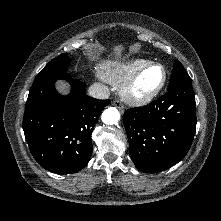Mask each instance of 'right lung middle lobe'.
I'll use <instances>...</instances> for the list:
<instances>
[{"mask_svg": "<svg viewBox=\"0 0 221 221\" xmlns=\"http://www.w3.org/2000/svg\"><path fill=\"white\" fill-rule=\"evenodd\" d=\"M70 59L68 58L67 53L59 55L58 57L51 60L42 71L38 73L36 76L32 88L36 87L37 85L45 82L47 79L60 74L64 73L69 66Z\"/></svg>", "mask_w": 221, "mask_h": 221, "instance_id": "dd1d6c3e", "label": "right lung middle lobe"}]
</instances>
